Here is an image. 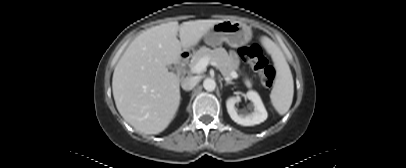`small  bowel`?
Here are the masks:
<instances>
[{
  "mask_svg": "<svg viewBox=\"0 0 406 168\" xmlns=\"http://www.w3.org/2000/svg\"><path fill=\"white\" fill-rule=\"evenodd\" d=\"M230 58H231L232 61L236 62V60H237V55H236V53L233 52V51L230 52Z\"/></svg>",
  "mask_w": 406,
  "mask_h": 168,
  "instance_id": "small-bowel-1",
  "label": "small bowel"
}]
</instances>
